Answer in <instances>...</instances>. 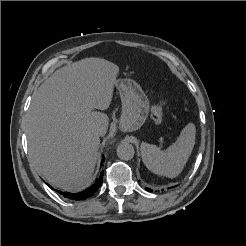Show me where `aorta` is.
I'll list each match as a JSON object with an SVG mask.
<instances>
[{
	"label": "aorta",
	"instance_id": "obj_1",
	"mask_svg": "<svg viewBox=\"0 0 246 246\" xmlns=\"http://www.w3.org/2000/svg\"><path fill=\"white\" fill-rule=\"evenodd\" d=\"M135 151L132 144L121 142L117 148V156L122 160H131L134 157Z\"/></svg>",
	"mask_w": 246,
	"mask_h": 246
}]
</instances>
